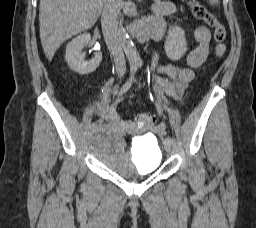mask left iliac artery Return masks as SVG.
I'll return each mask as SVG.
<instances>
[{"label":"left iliac artery","mask_w":256,"mask_h":228,"mask_svg":"<svg viewBox=\"0 0 256 228\" xmlns=\"http://www.w3.org/2000/svg\"><path fill=\"white\" fill-rule=\"evenodd\" d=\"M156 107H157L158 112L162 113V108H161V105L159 104V102H156ZM166 139L172 142V138L170 136H167Z\"/></svg>","instance_id":"44dca946"}]
</instances>
